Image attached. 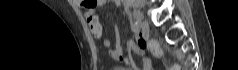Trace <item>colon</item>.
Listing matches in <instances>:
<instances>
[{"mask_svg": "<svg viewBox=\"0 0 238 70\" xmlns=\"http://www.w3.org/2000/svg\"><path fill=\"white\" fill-rule=\"evenodd\" d=\"M91 1H92V0H86V2H91ZM149 47H150L151 51H152L155 55H159V54L161 53L159 47H158L156 44L150 43V44H149ZM173 69H174V70H179L180 68H179L178 66H175Z\"/></svg>", "mask_w": 238, "mask_h": 70, "instance_id": "5ec220e1", "label": "colon"}]
</instances>
